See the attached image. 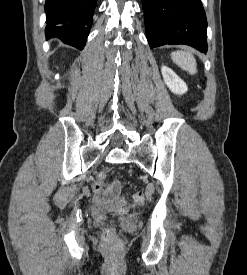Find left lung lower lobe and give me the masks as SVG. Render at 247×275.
<instances>
[{
  "label": "left lung lower lobe",
  "mask_w": 247,
  "mask_h": 275,
  "mask_svg": "<svg viewBox=\"0 0 247 275\" xmlns=\"http://www.w3.org/2000/svg\"><path fill=\"white\" fill-rule=\"evenodd\" d=\"M150 48L186 44L207 51V20L201 0H142Z\"/></svg>",
  "instance_id": "left-lung-lower-lobe-1"
}]
</instances>
